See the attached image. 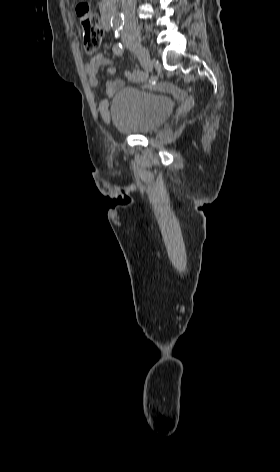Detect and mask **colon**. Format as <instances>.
I'll list each match as a JSON object with an SVG mask.
<instances>
[{
	"label": "colon",
	"mask_w": 280,
	"mask_h": 472,
	"mask_svg": "<svg viewBox=\"0 0 280 472\" xmlns=\"http://www.w3.org/2000/svg\"><path fill=\"white\" fill-rule=\"evenodd\" d=\"M76 14L82 28L84 49L87 53L93 54L97 51L104 35L99 18L91 6L84 2L76 6Z\"/></svg>",
	"instance_id": "colon-1"
}]
</instances>
